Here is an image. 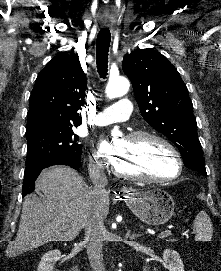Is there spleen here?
<instances>
[{
    "mask_svg": "<svg viewBox=\"0 0 221 271\" xmlns=\"http://www.w3.org/2000/svg\"><path fill=\"white\" fill-rule=\"evenodd\" d=\"M193 225L196 231V241H211L213 225L206 211H199L194 219Z\"/></svg>",
    "mask_w": 221,
    "mask_h": 271,
    "instance_id": "spleen-1",
    "label": "spleen"
}]
</instances>
